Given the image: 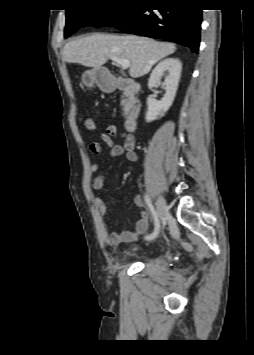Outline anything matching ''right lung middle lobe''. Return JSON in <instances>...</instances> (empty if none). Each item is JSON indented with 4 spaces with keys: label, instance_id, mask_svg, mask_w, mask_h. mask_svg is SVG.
Instances as JSON below:
<instances>
[{
    "label": "right lung middle lobe",
    "instance_id": "right-lung-middle-lobe-1",
    "mask_svg": "<svg viewBox=\"0 0 254 355\" xmlns=\"http://www.w3.org/2000/svg\"><path fill=\"white\" fill-rule=\"evenodd\" d=\"M145 0H121V2H103L97 8L66 10L65 38L84 26L105 27L114 24L135 4Z\"/></svg>",
    "mask_w": 254,
    "mask_h": 355
}]
</instances>
